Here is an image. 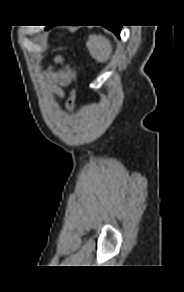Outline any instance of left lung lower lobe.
<instances>
[{
	"mask_svg": "<svg viewBox=\"0 0 184 292\" xmlns=\"http://www.w3.org/2000/svg\"><path fill=\"white\" fill-rule=\"evenodd\" d=\"M105 27L108 28L109 30H111L112 32H114L116 35L119 36L120 30H121V26H114V27H107V26H105Z\"/></svg>",
	"mask_w": 184,
	"mask_h": 292,
	"instance_id": "0a47b994",
	"label": "left lung lower lobe"
}]
</instances>
